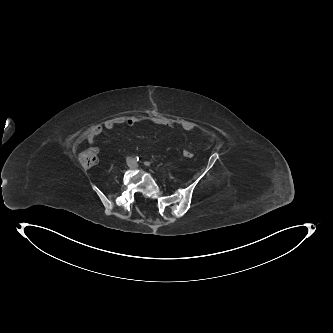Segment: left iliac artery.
Wrapping results in <instances>:
<instances>
[{
	"instance_id": "left-iliac-artery-1",
	"label": "left iliac artery",
	"mask_w": 333,
	"mask_h": 333,
	"mask_svg": "<svg viewBox=\"0 0 333 333\" xmlns=\"http://www.w3.org/2000/svg\"><path fill=\"white\" fill-rule=\"evenodd\" d=\"M146 166H150V163L149 162H145L144 163Z\"/></svg>"
}]
</instances>
